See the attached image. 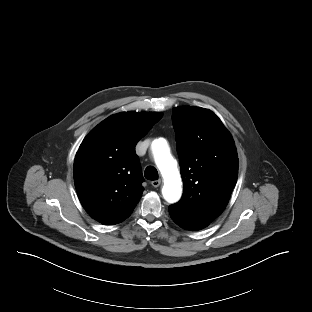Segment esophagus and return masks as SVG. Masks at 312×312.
<instances>
[{
	"label": "esophagus",
	"instance_id": "obj_1",
	"mask_svg": "<svg viewBox=\"0 0 312 312\" xmlns=\"http://www.w3.org/2000/svg\"><path fill=\"white\" fill-rule=\"evenodd\" d=\"M152 186L157 188L161 184V180H154L151 182Z\"/></svg>",
	"mask_w": 312,
	"mask_h": 312
}]
</instances>
